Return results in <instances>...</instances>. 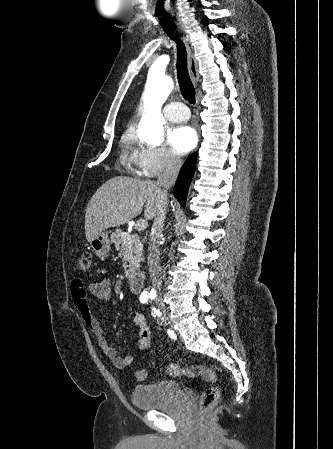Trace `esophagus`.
I'll return each mask as SVG.
<instances>
[{
    "instance_id": "obj_1",
    "label": "esophagus",
    "mask_w": 333,
    "mask_h": 449,
    "mask_svg": "<svg viewBox=\"0 0 333 449\" xmlns=\"http://www.w3.org/2000/svg\"><path fill=\"white\" fill-rule=\"evenodd\" d=\"M178 33L181 36V38H182V40H183V42H184V44H185V46L187 48L189 73L191 75V78H192L193 82L197 83V81L199 79L198 64H197V61H196V59L194 57V52H193V48H192V45H191L190 36L183 29H179Z\"/></svg>"
}]
</instances>
